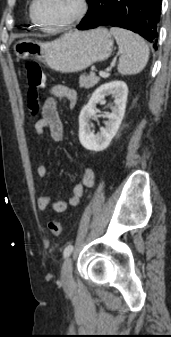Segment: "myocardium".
<instances>
[{
  "label": "myocardium",
  "instance_id": "f54148a6",
  "mask_svg": "<svg viewBox=\"0 0 171 337\" xmlns=\"http://www.w3.org/2000/svg\"><path fill=\"white\" fill-rule=\"evenodd\" d=\"M38 1L39 0H32L31 6H30L31 18L39 27H41L42 29L46 31H50V32H57V31H62V30L71 28L72 26H74L76 23H78L85 17V15L88 12V8H89L87 0H78V10L74 14L73 17H71L69 20H67L66 22L62 24L51 26V25H47L43 23L39 19L37 12H36V6H37Z\"/></svg>",
  "mask_w": 171,
  "mask_h": 337
}]
</instances>
